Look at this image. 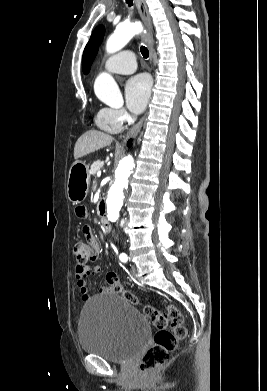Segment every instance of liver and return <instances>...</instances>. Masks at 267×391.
Instances as JSON below:
<instances>
[{
	"label": "liver",
	"instance_id": "6515ba94",
	"mask_svg": "<svg viewBox=\"0 0 267 391\" xmlns=\"http://www.w3.org/2000/svg\"><path fill=\"white\" fill-rule=\"evenodd\" d=\"M113 137L98 130H89L77 140L74 147V158L77 160L90 153L109 146Z\"/></svg>",
	"mask_w": 267,
	"mask_h": 391
}]
</instances>
